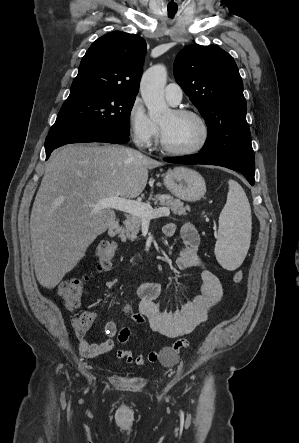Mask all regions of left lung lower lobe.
I'll list each match as a JSON object with an SVG mask.
<instances>
[{
	"instance_id": "0a47b994",
	"label": "left lung lower lobe",
	"mask_w": 299,
	"mask_h": 443,
	"mask_svg": "<svg viewBox=\"0 0 299 443\" xmlns=\"http://www.w3.org/2000/svg\"><path fill=\"white\" fill-rule=\"evenodd\" d=\"M164 160L167 162L180 163V164H209V165L222 166L242 173L251 185H254L255 182L254 158L220 160L202 155L201 153H197L181 157H169L165 158Z\"/></svg>"
}]
</instances>
